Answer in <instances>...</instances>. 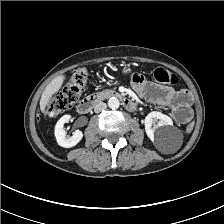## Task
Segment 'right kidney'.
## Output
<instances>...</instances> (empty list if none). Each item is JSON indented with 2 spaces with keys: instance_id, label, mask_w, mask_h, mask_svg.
<instances>
[{
  "instance_id": "obj_1",
  "label": "right kidney",
  "mask_w": 224,
  "mask_h": 224,
  "mask_svg": "<svg viewBox=\"0 0 224 224\" xmlns=\"http://www.w3.org/2000/svg\"><path fill=\"white\" fill-rule=\"evenodd\" d=\"M70 119V115H63L56 123L54 131L57 143L65 148H70L77 145L83 138V133L80 130H76L71 137L66 135L64 124L69 122Z\"/></svg>"
}]
</instances>
